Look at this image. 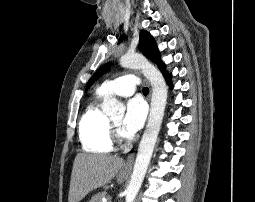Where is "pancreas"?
Listing matches in <instances>:
<instances>
[{"label": "pancreas", "mask_w": 255, "mask_h": 202, "mask_svg": "<svg viewBox=\"0 0 255 202\" xmlns=\"http://www.w3.org/2000/svg\"><path fill=\"white\" fill-rule=\"evenodd\" d=\"M106 195L105 192H99L97 194H95L91 200L89 202H102V197H104Z\"/></svg>", "instance_id": "pancreas-1"}]
</instances>
